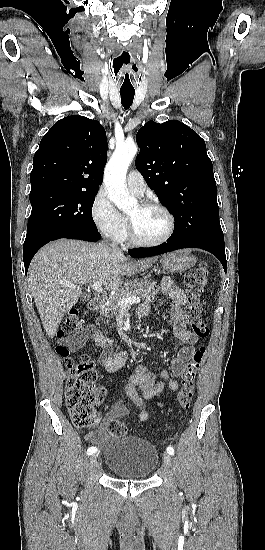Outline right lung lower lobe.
Wrapping results in <instances>:
<instances>
[{
	"label": "right lung lower lobe",
	"instance_id": "98d812e1",
	"mask_svg": "<svg viewBox=\"0 0 265 550\" xmlns=\"http://www.w3.org/2000/svg\"><path fill=\"white\" fill-rule=\"evenodd\" d=\"M60 238L80 239V240L95 242L101 238V235L98 231L92 232V231L68 229V230H62V231L56 232L47 238L41 239L35 242L34 244L28 246L27 248H23V261L25 265V272L27 273L33 256L43 245L47 244L50 241L60 239Z\"/></svg>",
	"mask_w": 265,
	"mask_h": 550
}]
</instances>
